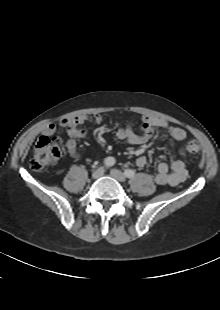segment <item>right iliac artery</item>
<instances>
[{
    "label": "right iliac artery",
    "mask_w": 220,
    "mask_h": 310,
    "mask_svg": "<svg viewBox=\"0 0 220 310\" xmlns=\"http://www.w3.org/2000/svg\"><path fill=\"white\" fill-rule=\"evenodd\" d=\"M104 164L105 166L107 167H111L115 164V159L113 157H107L105 160H104Z\"/></svg>",
    "instance_id": "right-iliac-artery-1"
}]
</instances>
